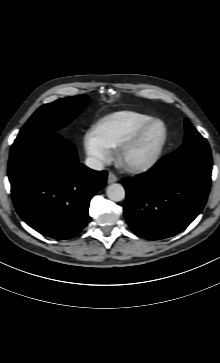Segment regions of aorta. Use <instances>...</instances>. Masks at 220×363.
<instances>
[{
  "instance_id": "762f6f07",
  "label": "aorta",
  "mask_w": 220,
  "mask_h": 363,
  "mask_svg": "<svg viewBox=\"0 0 220 363\" xmlns=\"http://www.w3.org/2000/svg\"><path fill=\"white\" fill-rule=\"evenodd\" d=\"M106 194L110 200L119 202L125 198V189L121 184L113 183L107 187Z\"/></svg>"
}]
</instances>
